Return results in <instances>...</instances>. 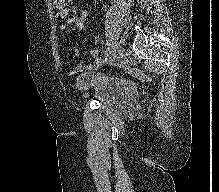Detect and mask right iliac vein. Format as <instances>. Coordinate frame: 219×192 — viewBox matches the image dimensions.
Segmentation results:
<instances>
[{
  "mask_svg": "<svg viewBox=\"0 0 219 192\" xmlns=\"http://www.w3.org/2000/svg\"><path fill=\"white\" fill-rule=\"evenodd\" d=\"M121 57V47L117 46L112 51V55L108 58V65H112L117 59Z\"/></svg>",
  "mask_w": 219,
  "mask_h": 192,
  "instance_id": "63e3f726",
  "label": "right iliac vein"
}]
</instances>
